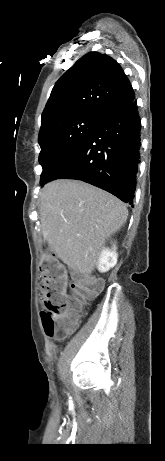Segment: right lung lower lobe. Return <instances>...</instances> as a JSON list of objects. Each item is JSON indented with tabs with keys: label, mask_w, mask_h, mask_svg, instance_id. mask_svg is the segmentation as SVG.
I'll use <instances>...</instances> for the list:
<instances>
[{
	"label": "right lung lower lobe",
	"mask_w": 165,
	"mask_h": 461,
	"mask_svg": "<svg viewBox=\"0 0 165 461\" xmlns=\"http://www.w3.org/2000/svg\"><path fill=\"white\" fill-rule=\"evenodd\" d=\"M140 131L141 120L133 100L103 117L47 182L82 180L132 204L140 162Z\"/></svg>",
	"instance_id": "98d812e1"
}]
</instances>
